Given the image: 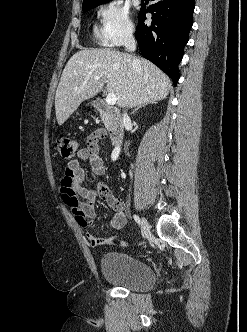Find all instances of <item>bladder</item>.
<instances>
[{
  "label": "bladder",
  "mask_w": 247,
  "mask_h": 332,
  "mask_svg": "<svg viewBox=\"0 0 247 332\" xmlns=\"http://www.w3.org/2000/svg\"><path fill=\"white\" fill-rule=\"evenodd\" d=\"M100 268L106 281L131 291L149 290L156 282L154 271L146 262L123 252L103 254Z\"/></svg>",
  "instance_id": "obj_1"
}]
</instances>
